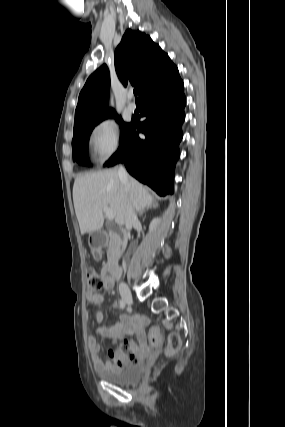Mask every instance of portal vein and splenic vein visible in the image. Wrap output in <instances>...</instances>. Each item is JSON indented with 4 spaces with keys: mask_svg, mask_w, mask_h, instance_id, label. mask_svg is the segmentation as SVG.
Returning a JSON list of instances; mask_svg holds the SVG:
<instances>
[{
    "mask_svg": "<svg viewBox=\"0 0 285 427\" xmlns=\"http://www.w3.org/2000/svg\"><path fill=\"white\" fill-rule=\"evenodd\" d=\"M103 211L108 220H113L115 218V211L108 206H104Z\"/></svg>",
    "mask_w": 285,
    "mask_h": 427,
    "instance_id": "18ae733b",
    "label": "portal vein and splenic vein"
}]
</instances>
